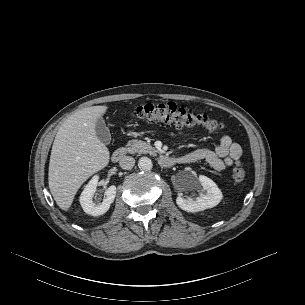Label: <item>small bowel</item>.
<instances>
[{"label":"small bowel","mask_w":305,"mask_h":305,"mask_svg":"<svg viewBox=\"0 0 305 305\" xmlns=\"http://www.w3.org/2000/svg\"><path fill=\"white\" fill-rule=\"evenodd\" d=\"M241 157L242 148L240 144L234 142L229 135L224 134L215 149L198 148L177 158L181 164L204 161L214 170L222 171L233 166H239Z\"/></svg>","instance_id":"c3829d8e"}]
</instances>
